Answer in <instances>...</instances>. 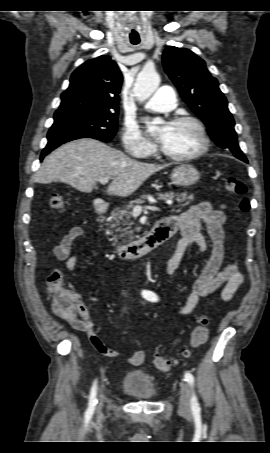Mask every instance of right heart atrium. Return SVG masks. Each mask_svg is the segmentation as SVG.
Returning <instances> with one entry per match:
<instances>
[{"mask_svg": "<svg viewBox=\"0 0 270 453\" xmlns=\"http://www.w3.org/2000/svg\"><path fill=\"white\" fill-rule=\"evenodd\" d=\"M122 142L126 152L134 157H146L153 153L155 147L133 123H127L122 133Z\"/></svg>", "mask_w": 270, "mask_h": 453, "instance_id": "obj_1", "label": "right heart atrium"}]
</instances>
